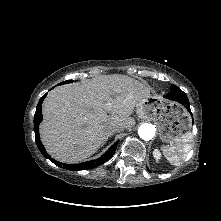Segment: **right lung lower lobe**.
Here are the masks:
<instances>
[{"mask_svg":"<svg viewBox=\"0 0 221 221\" xmlns=\"http://www.w3.org/2000/svg\"><path fill=\"white\" fill-rule=\"evenodd\" d=\"M46 95L47 94L42 96L41 99L39 100V103L37 105V109H36V112H35V115H34L35 140H36L38 149L40 150L41 154L44 157L48 158L54 164H56L57 166H59V167H61L63 169H68V170H72V171H78V170H87V169L95 168V167L103 164L104 162L108 161L114 155L118 141L115 142L107 150L106 153H104L100 158H98L96 160L87 161V162H83V163H79V164H65V163H60V162L54 160L53 158H51L50 155L45 151V148L42 145V143L40 141V136H39V124L42 121L41 107H42V102H43L44 98L46 97Z\"/></svg>","mask_w":221,"mask_h":221,"instance_id":"right-lung-lower-lobe-1","label":"right lung lower lobe"}]
</instances>
